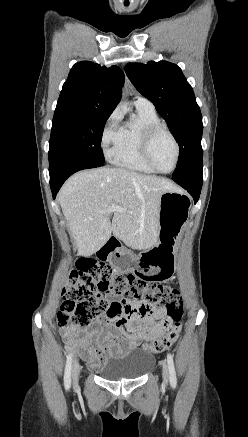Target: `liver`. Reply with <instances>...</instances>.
Segmentation results:
<instances>
[{
  "mask_svg": "<svg viewBox=\"0 0 248 437\" xmlns=\"http://www.w3.org/2000/svg\"><path fill=\"white\" fill-rule=\"evenodd\" d=\"M178 191L167 179L122 168H98L74 174L62 186L58 201L79 254L91 256L111 237L137 250L158 241L160 198ZM112 204L124 209L114 212Z\"/></svg>",
  "mask_w": 248,
  "mask_h": 437,
  "instance_id": "liver-1",
  "label": "liver"
}]
</instances>
